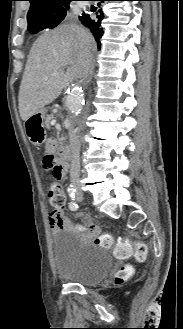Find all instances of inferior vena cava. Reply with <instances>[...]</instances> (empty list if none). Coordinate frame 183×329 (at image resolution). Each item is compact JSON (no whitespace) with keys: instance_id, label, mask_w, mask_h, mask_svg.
Returning <instances> with one entry per match:
<instances>
[{"instance_id":"inferior-vena-cava-1","label":"inferior vena cava","mask_w":183,"mask_h":329,"mask_svg":"<svg viewBox=\"0 0 183 329\" xmlns=\"http://www.w3.org/2000/svg\"><path fill=\"white\" fill-rule=\"evenodd\" d=\"M80 63L82 67L81 81L86 83L92 71V54L88 49H84L80 54ZM69 141L71 149V167L70 176L73 184H77L80 176V147L81 141L77 129L73 127L69 130Z\"/></svg>"}]
</instances>
